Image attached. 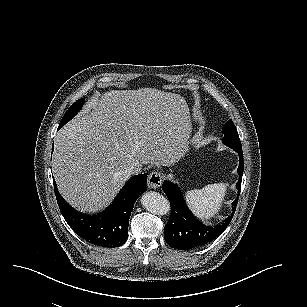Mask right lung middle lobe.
Instances as JSON below:
<instances>
[{
  "mask_svg": "<svg viewBox=\"0 0 307 307\" xmlns=\"http://www.w3.org/2000/svg\"><path fill=\"white\" fill-rule=\"evenodd\" d=\"M83 103H84V100L79 99L68 109V111L65 113V115L61 119L58 129L64 126L68 121H70L78 113Z\"/></svg>",
  "mask_w": 307,
  "mask_h": 307,
  "instance_id": "1",
  "label": "right lung middle lobe"
}]
</instances>
